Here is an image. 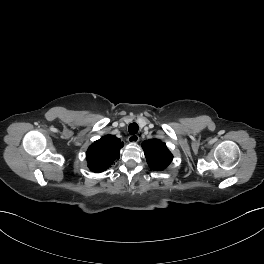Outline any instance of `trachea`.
I'll use <instances>...</instances> for the list:
<instances>
[{
    "mask_svg": "<svg viewBox=\"0 0 264 264\" xmlns=\"http://www.w3.org/2000/svg\"><path fill=\"white\" fill-rule=\"evenodd\" d=\"M139 130V126L137 123H131L128 127V131L130 134H136Z\"/></svg>",
    "mask_w": 264,
    "mask_h": 264,
    "instance_id": "obj_1",
    "label": "trachea"
}]
</instances>
